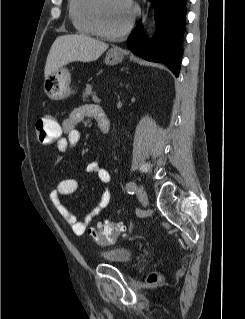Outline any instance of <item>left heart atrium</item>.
<instances>
[{
  "mask_svg": "<svg viewBox=\"0 0 245 319\" xmlns=\"http://www.w3.org/2000/svg\"><path fill=\"white\" fill-rule=\"evenodd\" d=\"M122 3L129 9H132V0H121Z\"/></svg>",
  "mask_w": 245,
  "mask_h": 319,
  "instance_id": "39dd6f15",
  "label": "left heart atrium"
}]
</instances>
